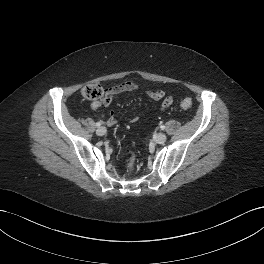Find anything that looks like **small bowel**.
Instances as JSON below:
<instances>
[{
    "mask_svg": "<svg viewBox=\"0 0 264 264\" xmlns=\"http://www.w3.org/2000/svg\"><path fill=\"white\" fill-rule=\"evenodd\" d=\"M141 89V86L136 81H126L123 83H120L118 85H115L113 87L107 88L105 90L104 96L100 100L93 101L90 104V107L92 110H97L101 106H109L112 102V100L118 96L119 94L125 93V92H132ZM145 93L154 100H160L161 101V110H165L169 108L173 103L172 96L166 95L165 92L162 89H145ZM135 120V119H134ZM107 124L109 126H113L116 124V117L114 112H111L107 119Z\"/></svg>",
    "mask_w": 264,
    "mask_h": 264,
    "instance_id": "small-bowel-1",
    "label": "small bowel"
}]
</instances>
